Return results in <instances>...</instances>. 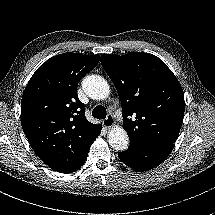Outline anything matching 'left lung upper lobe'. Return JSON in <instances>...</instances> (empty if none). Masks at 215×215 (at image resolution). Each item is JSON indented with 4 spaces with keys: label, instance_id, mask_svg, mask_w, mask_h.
Segmentation results:
<instances>
[{
    "label": "left lung upper lobe",
    "instance_id": "1",
    "mask_svg": "<svg viewBox=\"0 0 215 215\" xmlns=\"http://www.w3.org/2000/svg\"><path fill=\"white\" fill-rule=\"evenodd\" d=\"M101 64L121 99L123 127L130 142L173 144L182 125L185 101L181 85L167 65L142 52L102 54Z\"/></svg>",
    "mask_w": 215,
    "mask_h": 215
}]
</instances>
